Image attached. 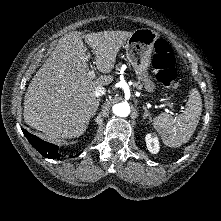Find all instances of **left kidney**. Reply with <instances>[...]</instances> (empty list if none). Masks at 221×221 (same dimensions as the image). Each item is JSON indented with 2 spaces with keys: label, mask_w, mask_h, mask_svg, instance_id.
<instances>
[{
  "label": "left kidney",
  "mask_w": 221,
  "mask_h": 221,
  "mask_svg": "<svg viewBox=\"0 0 221 221\" xmlns=\"http://www.w3.org/2000/svg\"><path fill=\"white\" fill-rule=\"evenodd\" d=\"M145 140L149 152L153 154L158 153L160 149L158 138L152 134H147Z\"/></svg>",
  "instance_id": "1"
}]
</instances>
